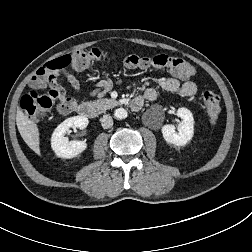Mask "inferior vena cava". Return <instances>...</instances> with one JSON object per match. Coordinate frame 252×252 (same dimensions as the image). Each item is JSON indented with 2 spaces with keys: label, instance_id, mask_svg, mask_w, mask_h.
Segmentation results:
<instances>
[{
  "label": "inferior vena cava",
  "instance_id": "obj_1",
  "mask_svg": "<svg viewBox=\"0 0 252 252\" xmlns=\"http://www.w3.org/2000/svg\"><path fill=\"white\" fill-rule=\"evenodd\" d=\"M101 125L104 129L111 128L113 126V119L110 115H104L101 119Z\"/></svg>",
  "mask_w": 252,
  "mask_h": 252
}]
</instances>
